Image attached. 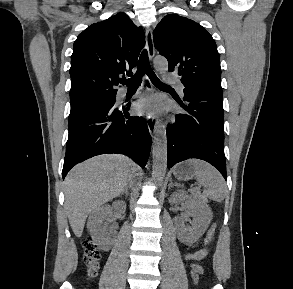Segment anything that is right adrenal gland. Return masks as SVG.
<instances>
[{
	"label": "right adrenal gland",
	"instance_id": "right-adrenal-gland-1",
	"mask_svg": "<svg viewBox=\"0 0 293 289\" xmlns=\"http://www.w3.org/2000/svg\"><path fill=\"white\" fill-rule=\"evenodd\" d=\"M123 194H126V196H128L129 191L128 188L126 187L125 190L120 194V196H122Z\"/></svg>",
	"mask_w": 293,
	"mask_h": 289
}]
</instances>
